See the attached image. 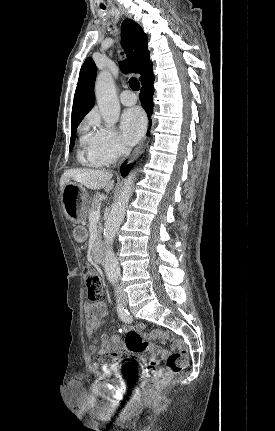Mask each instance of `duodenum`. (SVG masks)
I'll return each instance as SVG.
<instances>
[{
    "label": "duodenum",
    "mask_w": 275,
    "mask_h": 431,
    "mask_svg": "<svg viewBox=\"0 0 275 431\" xmlns=\"http://www.w3.org/2000/svg\"><path fill=\"white\" fill-rule=\"evenodd\" d=\"M104 244L102 242V240L98 239L94 246H93V250H92V256H93V260L96 263H101L104 259Z\"/></svg>",
    "instance_id": "410a0bca"
}]
</instances>
